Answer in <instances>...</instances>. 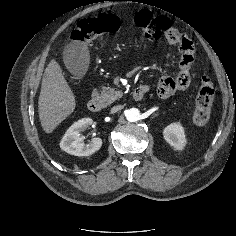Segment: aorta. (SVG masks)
<instances>
[{"label":"aorta","mask_w":236,"mask_h":236,"mask_svg":"<svg viewBox=\"0 0 236 236\" xmlns=\"http://www.w3.org/2000/svg\"><path fill=\"white\" fill-rule=\"evenodd\" d=\"M126 118L129 122H136L140 118V112L136 108H131L126 112Z\"/></svg>","instance_id":"1"}]
</instances>
